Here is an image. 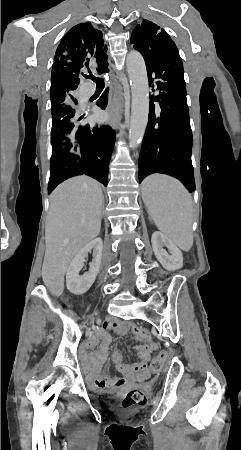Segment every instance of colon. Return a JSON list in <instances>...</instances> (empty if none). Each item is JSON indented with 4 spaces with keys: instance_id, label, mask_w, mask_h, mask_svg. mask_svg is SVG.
I'll list each match as a JSON object with an SVG mask.
<instances>
[{
    "instance_id": "obj_1",
    "label": "colon",
    "mask_w": 241,
    "mask_h": 450,
    "mask_svg": "<svg viewBox=\"0 0 241 450\" xmlns=\"http://www.w3.org/2000/svg\"><path fill=\"white\" fill-rule=\"evenodd\" d=\"M167 355L164 353L160 357L154 358L151 369L153 372H159L163 368L164 362L167 361ZM122 407L126 409H139L147 404V397L142 391L131 389L123 397L121 401Z\"/></svg>"
}]
</instances>
